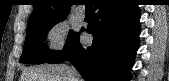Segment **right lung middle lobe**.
Returning a JSON list of instances; mask_svg holds the SVG:
<instances>
[{"instance_id":"obj_1","label":"right lung middle lobe","mask_w":169,"mask_h":81,"mask_svg":"<svg viewBox=\"0 0 169 81\" xmlns=\"http://www.w3.org/2000/svg\"><path fill=\"white\" fill-rule=\"evenodd\" d=\"M65 17L38 21L28 25L23 53L20 58L21 63L42 64L46 63L57 51H50L44 40L50 28ZM76 34L70 32L66 44L71 41Z\"/></svg>"}]
</instances>
